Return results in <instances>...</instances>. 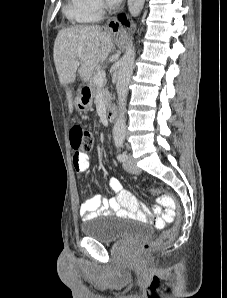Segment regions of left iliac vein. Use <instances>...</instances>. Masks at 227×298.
I'll return each instance as SVG.
<instances>
[{
	"instance_id": "obj_1",
	"label": "left iliac vein",
	"mask_w": 227,
	"mask_h": 298,
	"mask_svg": "<svg viewBox=\"0 0 227 298\" xmlns=\"http://www.w3.org/2000/svg\"><path fill=\"white\" fill-rule=\"evenodd\" d=\"M124 169L130 173L138 174L140 173V169L136 166L131 156H128L127 159L123 163Z\"/></svg>"
}]
</instances>
